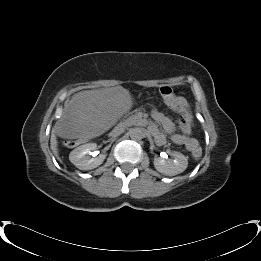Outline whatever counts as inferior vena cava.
<instances>
[{
	"label": "inferior vena cava",
	"mask_w": 261,
	"mask_h": 261,
	"mask_svg": "<svg viewBox=\"0 0 261 261\" xmlns=\"http://www.w3.org/2000/svg\"><path fill=\"white\" fill-rule=\"evenodd\" d=\"M123 131H124V128L120 129V130L118 131V134L122 133Z\"/></svg>",
	"instance_id": "inferior-vena-cava-1"
}]
</instances>
